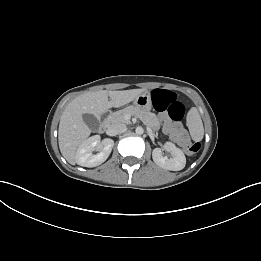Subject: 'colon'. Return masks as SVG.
I'll use <instances>...</instances> for the list:
<instances>
[{"label": "colon", "instance_id": "colon-1", "mask_svg": "<svg viewBox=\"0 0 261 261\" xmlns=\"http://www.w3.org/2000/svg\"><path fill=\"white\" fill-rule=\"evenodd\" d=\"M152 101L155 109L160 112H167L171 119L179 121L185 115V106L177 100L176 95L163 89L152 91ZM200 148L199 143H186L184 151L187 155H194Z\"/></svg>", "mask_w": 261, "mask_h": 261}]
</instances>
